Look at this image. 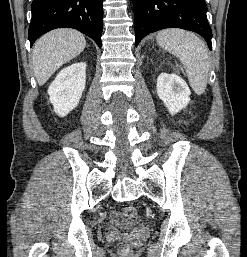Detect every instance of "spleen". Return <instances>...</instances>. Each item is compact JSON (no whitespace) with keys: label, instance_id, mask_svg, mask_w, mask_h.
<instances>
[{"label":"spleen","instance_id":"obj_1","mask_svg":"<svg viewBox=\"0 0 247 257\" xmlns=\"http://www.w3.org/2000/svg\"><path fill=\"white\" fill-rule=\"evenodd\" d=\"M157 43L175 55L184 65L195 93H204L209 74V58L205 44L194 33L181 29H166L156 36Z\"/></svg>","mask_w":247,"mask_h":257}]
</instances>
